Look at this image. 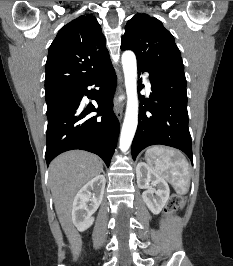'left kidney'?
I'll return each instance as SVG.
<instances>
[{
  "mask_svg": "<svg viewBox=\"0 0 233 266\" xmlns=\"http://www.w3.org/2000/svg\"><path fill=\"white\" fill-rule=\"evenodd\" d=\"M136 176L138 187L145 189L142 194L143 201L153 214H159L169 199L168 183L144 162L138 163ZM154 187H157V190Z\"/></svg>",
  "mask_w": 233,
  "mask_h": 266,
  "instance_id": "left-kidney-1",
  "label": "left kidney"
}]
</instances>
